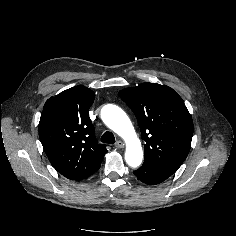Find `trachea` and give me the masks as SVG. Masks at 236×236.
Here are the masks:
<instances>
[{
  "label": "trachea",
  "mask_w": 236,
  "mask_h": 236,
  "mask_svg": "<svg viewBox=\"0 0 236 236\" xmlns=\"http://www.w3.org/2000/svg\"><path fill=\"white\" fill-rule=\"evenodd\" d=\"M101 142L108 143V144L115 143V137L113 133L106 131L101 137Z\"/></svg>",
  "instance_id": "1"
}]
</instances>
